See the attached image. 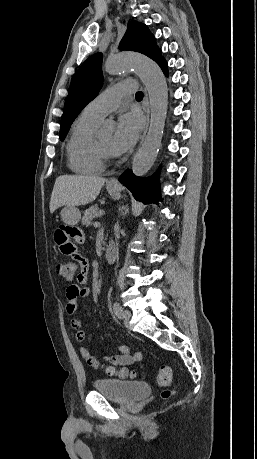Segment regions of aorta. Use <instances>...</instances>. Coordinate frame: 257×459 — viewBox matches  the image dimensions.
<instances>
[{"label": "aorta", "instance_id": "1", "mask_svg": "<svg viewBox=\"0 0 257 459\" xmlns=\"http://www.w3.org/2000/svg\"><path fill=\"white\" fill-rule=\"evenodd\" d=\"M128 69L135 70L149 95V129L142 147L132 162L133 173L143 176L154 164L161 145L168 105V88L160 67L145 56L121 53L108 57L105 62V71L109 74H117ZM109 126L107 123L106 127Z\"/></svg>", "mask_w": 257, "mask_h": 459}]
</instances>
